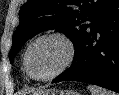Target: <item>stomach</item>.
Instances as JSON below:
<instances>
[{
    "instance_id": "obj_1",
    "label": "stomach",
    "mask_w": 119,
    "mask_h": 95,
    "mask_svg": "<svg viewBox=\"0 0 119 95\" xmlns=\"http://www.w3.org/2000/svg\"><path fill=\"white\" fill-rule=\"evenodd\" d=\"M36 95H79V93L74 92V91H68V90L61 91V90L50 89V90L43 91L40 94H36Z\"/></svg>"
}]
</instances>
